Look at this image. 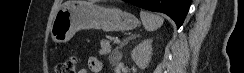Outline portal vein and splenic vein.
<instances>
[{"instance_id": "18ae733b", "label": "portal vein and splenic vein", "mask_w": 244, "mask_h": 73, "mask_svg": "<svg viewBox=\"0 0 244 73\" xmlns=\"http://www.w3.org/2000/svg\"><path fill=\"white\" fill-rule=\"evenodd\" d=\"M113 42L118 44V43H120V40H114Z\"/></svg>"}]
</instances>
